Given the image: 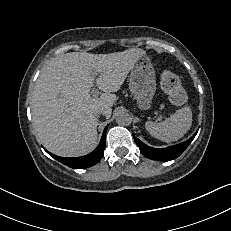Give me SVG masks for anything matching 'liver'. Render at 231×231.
Wrapping results in <instances>:
<instances>
[{
    "mask_svg": "<svg viewBox=\"0 0 231 231\" xmlns=\"http://www.w3.org/2000/svg\"><path fill=\"white\" fill-rule=\"evenodd\" d=\"M146 52L131 48L109 54L70 52L53 58L41 71L32 95L31 112L39 141L51 153L75 157L91 152L97 144L98 119L104 109L110 118L117 100L113 94ZM93 73L104 93L91 97Z\"/></svg>",
    "mask_w": 231,
    "mask_h": 231,
    "instance_id": "obj_1",
    "label": "liver"
}]
</instances>
